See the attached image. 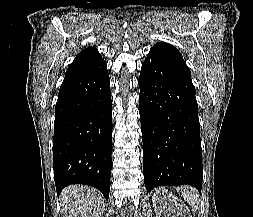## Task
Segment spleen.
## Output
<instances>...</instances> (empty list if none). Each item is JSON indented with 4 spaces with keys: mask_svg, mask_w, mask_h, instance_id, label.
I'll use <instances>...</instances> for the list:
<instances>
[{
    "mask_svg": "<svg viewBox=\"0 0 253 217\" xmlns=\"http://www.w3.org/2000/svg\"><path fill=\"white\" fill-rule=\"evenodd\" d=\"M181 194L184 198L189 202V204L194 208H198V199H197V191L194 188H190L189 186H184L181 188Z\"/></svg>",
    "mask_w": 253,
    "mask_h": 217,
    "instance_id": "obj_1",
    "label": "spleen"
}]
</instances>
